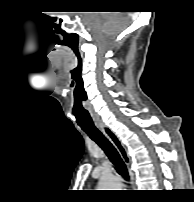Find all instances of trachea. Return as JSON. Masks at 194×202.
<instances>
[{
	"mask_svg": "<svg viewBox=\"0 0 194 202\" xmlns=\"http://www.w3.org/2000/svg\"><path fill=\"white\" fill-rule=\"evenodd\" d=\"M88 136L95 141L106 153L111 162L117 167L118 173L128 180V172L119 152L113 144L102 134V132L94 125L80 126Z\"/></svg>",
	"mask_w": 194,
	"mask_h": 202,
	"instance_id": "trachea-1",
	"label": "trachea"
}]
</instances>
